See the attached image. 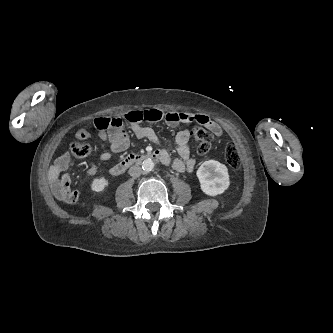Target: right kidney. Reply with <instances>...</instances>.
Wrapping results in <instances>:
<instances>
[{
	"mask_svg": "<svg viewBox=\"0 0 333 333\" xmlns=\"http://www.w3.org/2000/svg\"><path fill=\"white\" fill-rule=\"evenodd\" d=\"M108 185V181L102 177V178H96L93 180L91 184V189L94 192L101 193L104 191L105 187Z\"/></svg>",
	"mask_w": 333,
	"mask_h": 333,
	"instance_id": "1",
	"label": "right kidney"
}]
</instances>
